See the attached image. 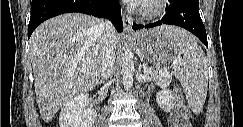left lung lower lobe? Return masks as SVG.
Listing matches in <instances>:
<instances>
[{"instance_id": "obj_1", "label": "left lung lower lobe", "mask_w": 243, "mask_h": 127, "mask_svg": "<svg viewBox=\"0 0 243 127\" xmlns=\"http://www.w3.org/2000/svg\"><path fill=\"white\" fill-rule=\"evenodd\" d=\"M169 1L166 14L160 21L145 26L133 23V29L155 27L161 24L177 25L192 32L208 47L206 30L199 14V0Z\"/></svg>"}]
</instances>
